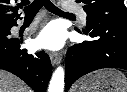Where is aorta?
<instances>
[{
  "label": "aorta",
  "instance_id": "aorta-1",
  "mask_svg": "<svg viewBox=\"0 0 127 92\" xmlns=\"http://www.w3.org/2000/svg\"><path fill=\"white\" fill-rule=\"evenodd\" d=\"M64 91V69L58 67L50 80L48 92H63Z\"/></svg>",
  "mask_w": 127,
  "mask_h": 92
}]
</instances>
